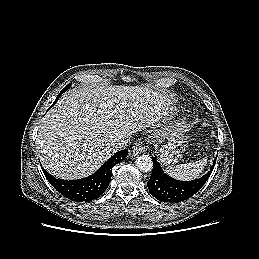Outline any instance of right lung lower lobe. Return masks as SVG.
<instances>
[{"label": "right lung lower lobe", "mask_w": 259, "mask_h": 259, "mask_svg": "<svg viewBox=\"0 0 259 259\" xmlns=\"http://www.w3.org/2000/svg\"><path fill=\"white\" fill-rule=\"evenodd\" d=\"M61 94H63L62 91L58 94L53 105L58 101ZM127 153V149L116 152L94 174L78 180L57 179L50 175L44 168L42 170L49 183L63 196L77 202H88L104 193L111 180L112 168L123 161Z\"/></svg>", "instance_id": "right-lung-lower-lobe-1"}]
</instances>
